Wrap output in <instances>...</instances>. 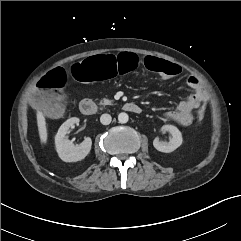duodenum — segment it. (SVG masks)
I'll return each instance as SVG.
<instances>
[{
	"mask_svg": "<svg viewBox=\"0 0 241 241\" xmlns=\"http://www.w3.org/2000/svg\"><path fill=\"white\" fill-rule=\"evenodd\" d=\"M79 109L83 115L92 116L98 112L99 106L91 99H84L80 102ZM124 109L135 114H139L141 112V108L135 103L124 104Z\"/></svg>",
	"mask_w": 241,
	"mask_h": 241,
	"instance_id": "obj_1",
	"label": "duodenum"
}]
</instances>
